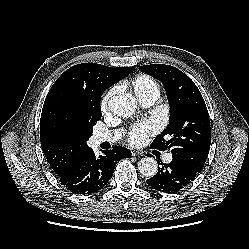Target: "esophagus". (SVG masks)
Listing matches in <instances>:
<instances>
[{
  "label": "esophagus",
  "mask_w": 249,
  "mask_h": 249,
  "mask_svg": "<svg viewBox=\"0 0 249 249\" xmlns=\"http://www.w3.org/2000/svg\"><path fill=\"white\" fill-rule=\"evenodd\" d=\"M133 156H144V153L142 151H132Z\"/></svg>",
  "instance_id": "1"
}]
</instances>
